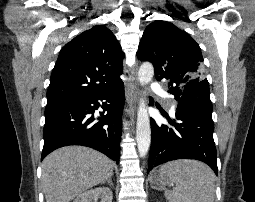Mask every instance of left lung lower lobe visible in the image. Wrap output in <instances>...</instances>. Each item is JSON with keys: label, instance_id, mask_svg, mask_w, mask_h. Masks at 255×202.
Returning <instances> with one entry per match:
<instances>
[{"label": "left lung lower lobe", "instance_id": "1", "mask_svg": "<svg viewBox=\"0 0 255 202\" xmlns=\"http://www.w3.org/2000/svg\"><path fill=\"white\" fill-rule=\"evenodd\" d=\"M165 117L173 127L157 125L151 118L152 140L148 172L167 161L197 159L208 164L218 175L212 114L178 109L175 120Z\"/></svg>", "mask_w": 255, "mask_h": 202}]
</instances>
